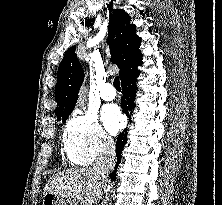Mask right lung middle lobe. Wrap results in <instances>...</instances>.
Wrapping results in <instances>:
<instances>
[{
  "label": "right lung middle lobe",
  "mask_w": 222,
  "mask_h": 205,
  "mask_svg": "<svg viewBox=\"0 0 222 205\" xmlns=\"http://www.w3.org/2000/svg\"><path fill=\"white\" fill-rule=\"evenodd\" d=\"M67 118H63V119H57L58 121L62 120V121H66Z\"/></svg>",
  "instance_id": "1"
}]
</instances>
